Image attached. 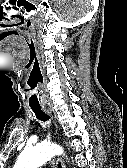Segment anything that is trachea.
<instances>
[{
    "mask_svg": "<svg viewBox=\"0 0 127 168\" xmlns=\"http://www.w3.org/2000/svg\"><path fill=\"white\" fill-rule=\"evenodd\" d=\"M32 111L34 112V114L36 115V118L40 121H48L49 117L47 116V114L41 109L40 106H31Z\"/></svg>",
    "mask_w": 127,
    "mask_h": 168,
    "instance_id": "obj_1",
    "label": "trachea"
}]
</instances>
